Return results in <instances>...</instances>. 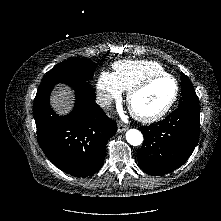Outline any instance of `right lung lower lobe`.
I'll return each instance as SVG.
<instances>
[{
    "label": "right lung lower lobe",
    "mask_w": 221,
    "mask_h": 221,
    "mask_svg": "<svg viewBox=\"0 0 221 221\" xmlns=\"http://www.w3.org/2000/svg\"><path fill=\"white\" fill-rule=\"evenodd\" d=\"M76 91L73 111L58 116L49 104L54 85H40L34 99V118L40 147L62 171L86 177L103 165L106 144L116 123L95 103V92L85 80L68 83Z\"/></svg>",
    "instance_id": "obj_1"
}]
</instances>
